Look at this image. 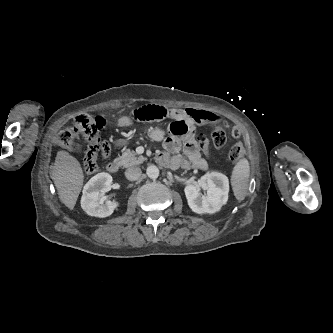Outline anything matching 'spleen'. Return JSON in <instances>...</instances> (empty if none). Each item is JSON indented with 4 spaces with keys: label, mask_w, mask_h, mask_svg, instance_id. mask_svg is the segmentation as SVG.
Masks as SVG:
<instances>
[{
    "label": "spleen",
    "mask_w": 333,
    "mask_h": 333,
    "mask_svg": "<svg viewBox=\"0 0 333 333\" xmlns=\"http://www.w3.org/2000/svg\"><path fill=\"white\" fill-rule=\"evenodd\" d=\"M249 175L250 166L248 160L245 158L239 160L235 165L231 176L233 192L238 201L244 200L247 195Z\"/></svg>",
    "instance_id": "spleen-1"
}]
</instances>
